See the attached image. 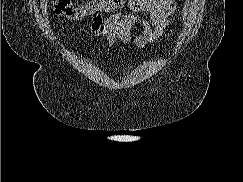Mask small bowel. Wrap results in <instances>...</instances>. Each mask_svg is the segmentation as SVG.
I'll return each instance as SVG.
<instances>
[{
    "label": "small bowel",
    "mask_w": 243,
    "mask_h": 182,
    "mask_svg": "<svg viewBox=\"0 0 243 182\" xmlns=\"http://www.w3.org/2000/svg\"><path fill=\"white\" fill-rule=\"evenodd\" d=\"M131 13H115L108 17L96 15L91 31L96 37L105 39L109 47H115L117 40L129 43L131 28L140 24L143 31L134 38L138 48L146 47L167 36L166 30L176 10L174 0H130ZM140 14H147V17Z\"/></svg>",
    "instance_id": "c3829d8e"
}]
</instances>
